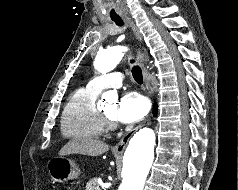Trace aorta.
<instances>
[{
	"instance_id": "1",
	"label": "aorta",
	"mask_w": 238,
	"mask_h": 190,
	"mask_svg": "<svg viewBox=\"0 0 238 190\" xmlns=\"http://www.w3.org/2000/svg\"><path fill=\"white\" fill-rule=\"evenodd\" d=\"M126 47L113 46L96 55L94 66L97 71L113 70L124 56ZM107 102H115L117 94L105 92ZM155 134L150 128H142L131 138L123 158V180L118 190H143L146 177L154 159Z\"/></svg>"
}]
</instances>
